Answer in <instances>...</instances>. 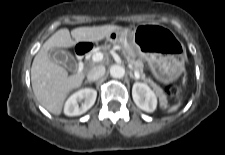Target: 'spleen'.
Listing matches in <instances>:
<instances>
[{
  "label": "spleen",
  "mask_w": 225,
  "mask_h": 155,
  "mask_svg": "<svg viewBox=\"0 0 225 155\" xmlns=\"http://www.w3.org/2000/svg\"><path fill=\"white\" fill-rule=\"evenodd\" d=\"M180 104L174 105L168 109V112H174L179 108Z\"/></svg>",
  "instance_id": "3e777b00"
}]
</instances>
